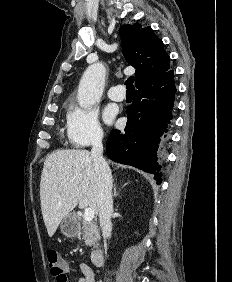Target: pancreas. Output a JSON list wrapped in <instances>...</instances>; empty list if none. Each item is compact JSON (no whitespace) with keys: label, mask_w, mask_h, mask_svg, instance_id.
<instances>
[{"label":"pancreas","mask_w":232,"mask_h":282,"mask_svg":"<svg viewBox=\"0 0 232 282\" xmlns=\"http://www.w3.org/2000/svg\"><path fill=\"white\" fill-rule=\"evenodd\" d=\"M82 232L83 239L87 246L95 247L98 245V241L100 239V233L98 230V226L95 222L82 221Z\"/></svg>","instance_id":"obj_1"}]
</instances>
